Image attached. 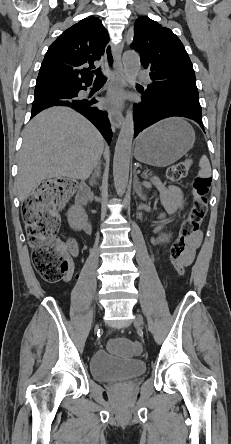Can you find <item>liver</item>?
<instances>
[{
    "label": "liver",
    "mask_w": 231,
    "mask_h": 444,
    "mask_svg": "<svg viewBox=\"0 0 231 444\" xmlns=\"http://www.w3.org/2000/svg\"><path fill=\"white\" fill-rule=\"evenodd\" d=\"M104 150L99 131L68 107H51L36 115L23 131L16 179L20 201L43 180L87 179Z\"/></svg>",
    "instance_id": "liver-1"
}]
</instances>
